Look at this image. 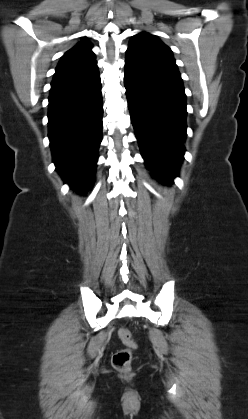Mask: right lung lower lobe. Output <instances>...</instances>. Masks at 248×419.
Here are the masks:
<instances>
[{"mask_svg":"<svg viewBox=\"0 0 248 419\" xmlns=\"http://www.w3.org/2000/svg\"><path fill=\"white\" fill-rule=\"evenodd\" d=\"M103 101L97 63L56 76L48 105V137L56 170L83 190L93 181L102 140Z\"/></svg>","mask_w":248,"mask_h":419,"instance_id":"obj_1","label":"right lung lower lobe"}]
</instances>
